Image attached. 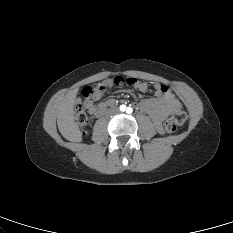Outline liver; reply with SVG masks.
Instances as JSON below:
<instances>
[{"label": "liver", "instance_id": "obj_1", "mask_svg": "<svg viewBox=\"0 0 233 233\" xmlns=\"http://www.w3.org/2000/svg\"><path fill=\"white\" fill-rule=\"evenodd\" d=\"M78 90L68 92L60 102L57 111V126L61 135L73 141L79 135L78 124L74 116V104Z\"/></svg>", "mask_w": 233, "mask_h": 233}]
</instances>
